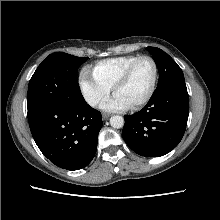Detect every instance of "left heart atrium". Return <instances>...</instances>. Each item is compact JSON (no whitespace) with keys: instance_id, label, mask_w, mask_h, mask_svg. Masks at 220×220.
<instances>
[{"instance_id":"obj_1","label":"left heart atrium","mask_w":220,"mask_h":220,"mask_svg":"<svg viewBox=\"0 0 220 220\" xmlns=\"http://www.w3.org/2000/svg\"><path fill=\"white\" fill-rule=\"evenodd\" d=\"M130 106L118 95L114 94L113 97L107 99L101 108L107 111L124 110Z\"/></svg>"}]
</instances>
